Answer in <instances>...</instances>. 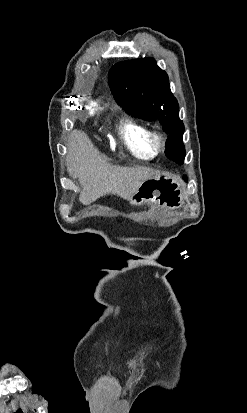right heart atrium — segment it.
Segmentation results:
<instances>
[{"instance_id":"1","label":"right heart atrium","mask_w":247,"mask_h":413,"mask_svg":"<svg viewBox=\"0 0 247 413\" xmlns=\"http://www.w3.org/2000/svg\"><path fill=\"white\" fill-rule=\"evenodd\" d=\"M101 107V102L99 101V100H94L93 102H92V106H89L88 108H87V111L89 112V113H92L93 111H94V109H99Z\"/></svg>"}]
</instances>
